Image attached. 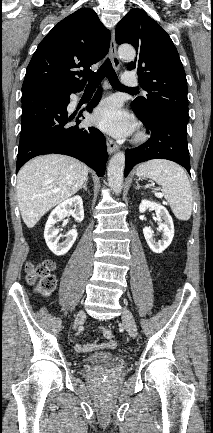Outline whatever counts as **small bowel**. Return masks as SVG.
<instances>
[{
    "mask_svg": "<svg viewBox=\"0 0 213 433\" xmlns=\"http://www.w3.org/2000/svg\"><path fill=\"white\" fill-rule=\"evenodd\" d=\"M116 345L117 343L114 340L105 343H92V344L77 343L75 345V350L80 353H85L96 349L114 348Z\"/></svg>",
    "mask_w": 213,
    "mask_h": 433,
    "instance_id": "c3829d8e",
    "label": "small bowel"
}]
</instances>
